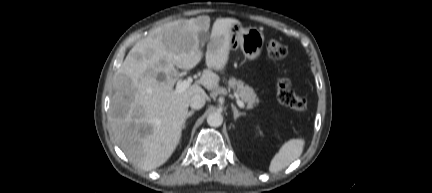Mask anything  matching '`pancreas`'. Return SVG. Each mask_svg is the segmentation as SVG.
Returning a JSON list of instances; mask_svg holds the SVG:
<instances>
[{"label":"pancreas","mask_w":432,"mask_h":193,"mask_svg":"<svg viewBox=\"0 0 432 193\" xmlns=\"http://www.w3.org/2000/svg\"><path fill=\"white\" fill-rule=\"evenodd\" d=\"M227 87L229 90H233L242 102L247 104V108L252 109L254 106L258 105L259 99L257 98L253 88L244 85L242 81L230 78L227 81Z\"/></svg>","instance_id":"1"}]
</instances>
